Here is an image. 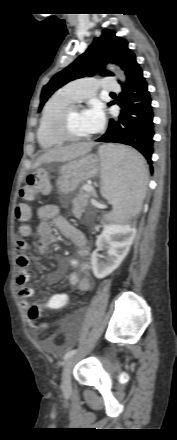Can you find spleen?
<instances>
[{
	"label": "spleen",
	"instance_id": "3e777b00",
	"mask_svg": "<svg viewBox=\"0 0 177 440\" xmlns=\"http://www.w3.org/2000/svg\"><path fill=\"white\" fill-rule=\"evenodd\" d=\"M102 195L113 205L108 218L126 221L137 215L146 193L148 170L144 158L125 146L99 147Z\"/></svg>",
	"mask_w": 177,
	"mask_h": 440
}]
</instances>
